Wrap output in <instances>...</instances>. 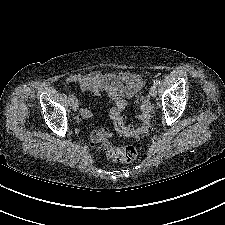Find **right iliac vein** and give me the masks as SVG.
<instances>
[{
	"instance_id": "63e3f726",
	"label": "right iliac vein",
	"mask_w": 225,
	"mask_h": 225,
	"mask_svg": "<svg viewBox=\"0 0 225 225\" xmlns=\"http://www.w3.org/2000/svg\"><path fill=\"white\" fill-rule=\"evenodd\" d=\"M70 106H71L73 111H77V109H78V100L74 96L70 100Z\"/></svg>"
}]
</instances>
